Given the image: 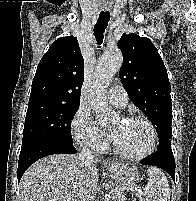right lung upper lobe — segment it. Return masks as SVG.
<instances>
[{
  "label": "right lung upper lobe",
  "mask_w": 196,
  "mask_h": 201,
  "mask_svg": "<svg viewBox=\"0 0 196 201\" xmlns=\"http://www.w3.org/2000/svg\"><path fill=\"white\" fill-rule=\"evenodd\" d=\"M83 80L84 60L77 38L61 37L52 43L40 60L29 101L80 103Z\"/></svg>",
  "instance_id": "right-lung-upper-lobe-1"
}]
</instances>
